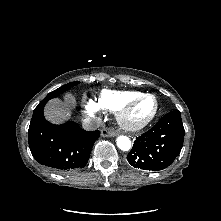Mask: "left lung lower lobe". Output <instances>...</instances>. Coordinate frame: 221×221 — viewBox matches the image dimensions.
Wrapping results in <instances>:
<instances>
[{"mask_svg":"<svg viewBox=\"0 0 221 221\" xmlns=\"http://www.w3.org/2000/svg\"><path fill=\"white\" fill-rule=\"evenodd\" d=\"M184 134L179 110L169 112L153 128L136 138L127 160L135 168L162 170L180 154Z\"/></svg>","mask_w":221,"mask_h":221,"instance_id":"obj_1","label":"left lung lower lobe"}]
</instances>
